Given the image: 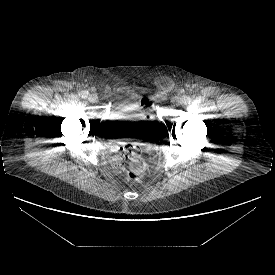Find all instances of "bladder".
I'll list each match as a JSON object with an SVG mask.
<instances>
[{"mask_svg": "<svg viewBox=\"0 0 275 275\" xmlns=\"http://www.w3.org/2000/svg\"><path fill=\"white\" fill-rule=\"evenodd\" d=\"M151 122L149 114L140 105L129 101L117 103L110 111L107 124L113 129L131 128V132Z\"/></svg>", "mask_w": 275, "mask_h": 275, "instance_id": "bladder-1", "label": "bladder"}]
</instances>
